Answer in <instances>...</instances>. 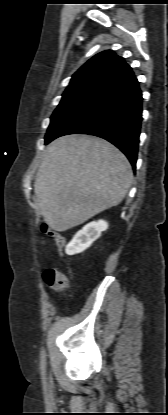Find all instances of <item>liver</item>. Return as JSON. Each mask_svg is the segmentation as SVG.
Masks as SVG:
<instances>
[{
    "mask_svg": "<svg viewBox=\"0 0 168 415\" xmlns=\"http://www.w3.org/2000/svg\"><path fill=\"white\" fill-rule=\"evenodd\" d=\"M132 179L128 159L114 145L94 136L68 135L48 145L34 192L46 224L63 232L117 206Z\"/></svg>",
    "mask_w": 168,
    "mask_h": 415,
    "instance_id": "1",
    "label": "liver"
}]
</instances>
